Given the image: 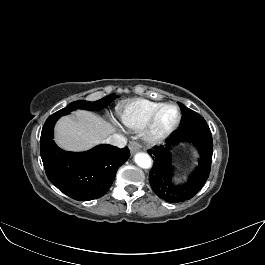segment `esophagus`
<instances>
[{"mask_svg":"<svg viewBox=\"0 0 265 265\" xmlns=\"http://www.w3.org/2000/svg\"><path fill=\"white\" fill-rule=\"evenodd\" d=\"M129 149H130L131 153L134 154L140 150V145L136 142H131L129 144Z\"/></svg>","mask_w":265,"mask_h":265,"instance_id":"1","label":"esophagus"}]
</instances>
